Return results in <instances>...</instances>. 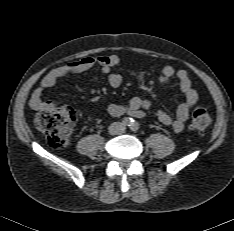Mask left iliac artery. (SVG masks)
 I'll list each match as a JSON object with an SVG mask.
<instances>
[{
	"mask_svg": "<svg viewBox=\"0 0 234 231\" xmlns=\"http://www.w3.org/2000/svg\"><path fill=\"white\" fill-rule=\"evenodd\" d=\"M138 128H139V125H138L137 122H134V123L132 124V126H131V130H132V131H137Z\"/></svg>",
	"mask_w": 234,
	"mask_h": 231,
	"instance_id": "left-iliac-artery-1",
	"label": "left iliac artery"
}]
</instances>
